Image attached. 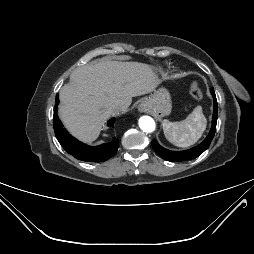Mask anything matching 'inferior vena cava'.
Listing matches in <instances>:
<instances>
[{"label":"inferior vena cava","instance_id":"1","mask_svg":"<svg viewBox=\"0 0 254 254\" xmlns=\"http://www.w3.org/2000/svg\"><path fill=\"white\" fill-rule=\"evenodd\" d=\"M126 109H127V107L123 104H118V105L113 106V110L116 112L125 111Z\"/></svg>","mask_w":254,"mask_h":254}]
</instances>
